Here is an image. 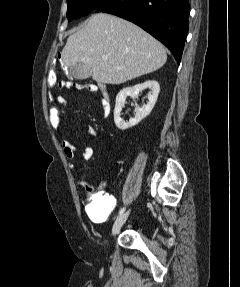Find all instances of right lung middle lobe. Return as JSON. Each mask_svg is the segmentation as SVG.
Wrapping results in <instances>:
<instances>
[{"label": "right lung middle lobe", "instance_id": "dd1d6c3e", "mask_svg": "<svg viewBox=\"0 0 240 287\" xmlns=\"http://www.w3.org/2000/svg\"><path fill=\"white\" fill-rule=\"evenodd\" d=\"M106 0H67V18L69 21L89 14Z\"/></svg>", "mask_w": 240, "mask_h": 287}]
</instances>
